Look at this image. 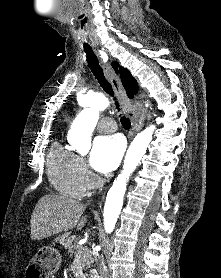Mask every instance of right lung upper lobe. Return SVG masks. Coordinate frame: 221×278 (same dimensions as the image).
<instances>
[{"mask_svg":"<svg viewBox=\"0 0 221 278\" xmlns=\"http://www.w3.org/2000/svg\"><path fill=\"white\" fill-rule=\"evenodd\" d=\"M120 76L122 83L125 85V88L128 90L127 94L131 98L134 94L138 91V85L136 80L133 78V76L130 74V72L120 67Z\"/></svg>","mask_w":221,"mask_h":278,"instance_id":"right-lung-upper-lobe-1","label":"right lung upper lobe"}]
</instances>
